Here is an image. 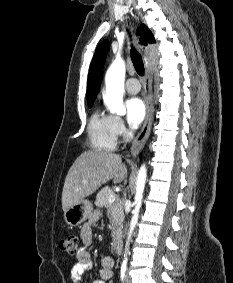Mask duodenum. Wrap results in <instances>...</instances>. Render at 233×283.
Here are the masks:
<instances>
[{
	"label": "duodenum",
	"instance_id": "duodenum-1",
	"mask_svg": "<svg viewBox=\"0 0 233 283\" xmlns=\"http://www.w3.org/2000/svg\"><path fill=\"white\" fill-rule=\"evenodd\" d=\"M115 251L116 253L119 255L121 254L122 251V242L119 238H117L116 242H115Z\"/></svg>",
	"mask_w": 233,
	"mask_h": 283
}]
</instances>
